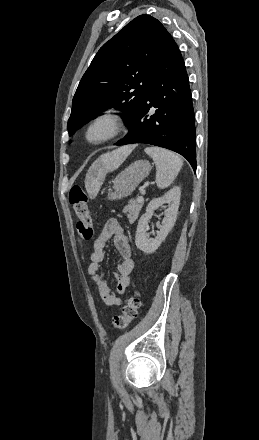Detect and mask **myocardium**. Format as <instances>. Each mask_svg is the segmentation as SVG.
Wrapping results in <instances>:
<instances>
[{"mask_svg":"<svg viewBox=\"0 0 259 440\" xmlns=\"http://www.w3.org/2000/svg\"><path fill=\"white\" fill-rule=\"evenodd\" d=\"M104 124L108 127V132L101 138L92 139L91 130L97 125ZM126 122L123 112L117 107H107L90 118L83 129V139L89 145H101L119 137L125 130Z\"/></svg>","mask_w":259,"mask_h":440,"instance_id":"obj_1","label":"myocardium"}]
</instances>
